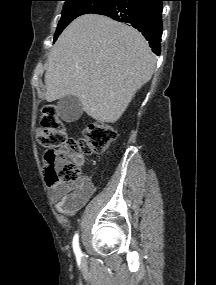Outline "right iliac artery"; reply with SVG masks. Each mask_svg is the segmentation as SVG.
Masks as SVG:
<instances>
[{
	"label": "right iliac artery",
	"mask_w": 216,
	"mask_h": 285,
	"mask_svg": "<svg viewBox=\"0 0 216 285\" xmlns=\"http://www.w3.org/2000/svg\"><path fill=\"white\" fill-rule=\"evenodd\" d=\"M73 250H74V253L77 257H80L81 256V250H80V247H79V236L78 234H76L73 238Z\"/></svg>",
	"instance_id": "1"
}]
</instances>
